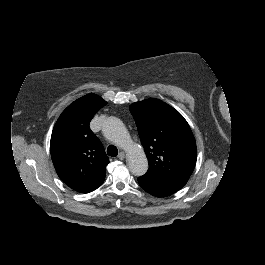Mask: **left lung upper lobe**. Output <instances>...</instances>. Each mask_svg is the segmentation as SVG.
Here are the masks:
<instances>
[{"instance_id": "left-lung-upper-lobe-1", "label": "left lung upper lobe", "mask_w": 265, "mask_h": 265, "mask_svg": "<svg viewBox=\"0 0 265 265\" xmlns=\"http://www.w3.org/2000/svg\"><path fill=\"white\" fill-rule=\"evenodd\" d=\"M148 158L142 177L156 183L183 187L197 158L196 142L184 117L158 99H146L129 107Z\"/></svg>"}]
</instances>
